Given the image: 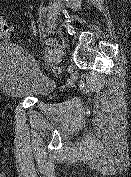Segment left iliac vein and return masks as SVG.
Here are the masks:
<instances>
[{"mask_svg":"<svg viewBox=\"0 0 131 177\" xmlns=\"http://www.w3.org/2000/svg\"><path fill=\"white\" fill-rule=\"evenodd\" d=\"M52 59H53V64L57 65L60 63L62 59V51L61 47L58 45H55L53 50H52Z\"/></svg>","mask_w":131,"mask_h":177,"instance_id":"left-iliac-vein-1","label":"left iliac vein"}]
</instances>
